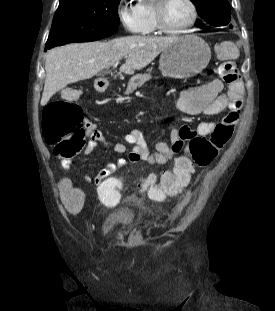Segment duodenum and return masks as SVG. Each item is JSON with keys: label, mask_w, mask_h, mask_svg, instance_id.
<instances>
[{"label": "duodenum", "mask_w": 275, "mask_h": 311, "mask_svg": "<svg viewBox=\"0 0 275 311\" xmlns=\"http://www.w3.org/2000/svg\"><path fill=\"white\" fill-rule=\"evenodd\" d=\"M108 88V82L106 77H101L95 82V89L98 93H105Z\"/></svg>", "instance_id": "obj_1"}]
</instances>
